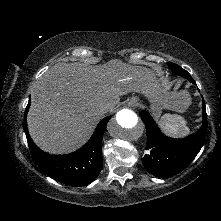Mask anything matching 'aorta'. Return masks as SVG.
I'll return each instance as SVG.
<instances>
[{"label":"aorta","mask_w":221,"mask_h":221,"mask_svg":"<svg viewBox=\"0 0 221 221\" xmlns=\"http://www.w3.org/2000/svg\"><path fill=\"white\" fill-rule=\"evenodd\" d=\"M109 134L121 141H134L142 136L144 127L136 113L130 109H121L107 125Z\"/></svg>","instance_id":"1"}]
</instances>
